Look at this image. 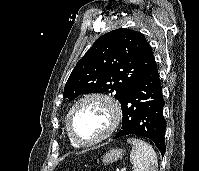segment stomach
Masks as SVG:
<instances>
[{
	"label": "stomach",
	"instance_id": "obj_1",
	"mask_svg": "<svg viewBox=\"0 0 199 171\" xmlns=\"http://www.w3.org/2000/svg\"><path fill=\"white\" fill-rule=\"evenodd\" d=\"M124 152H125V150H123V149H118V148L112 149L102 157V161L105 164L115 162L119 159H122Z\"/></svg>",
	"mask_w": 199,
	"mask_h": 171
}]
</instances>
